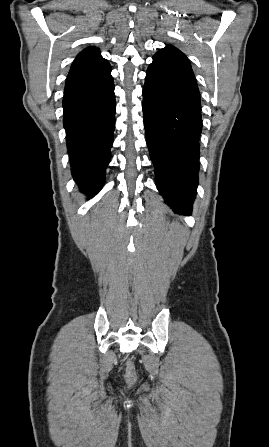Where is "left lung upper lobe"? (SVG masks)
<instances>
[{"mask_svg": "<svg viewBox=\"0 0 269 447\" xmlns=\"http://www.w3.org/2000/svg\"><path fill=\"white\" fill-rule=\"evenodd\" d=\"M166 48H175V47H173L171 45H167Z\"/></svg>", "mask_w": 269, "mask_h": 447, "instance_id": "obj_1", "label": "left lung upper lobe"}]
</instances>
